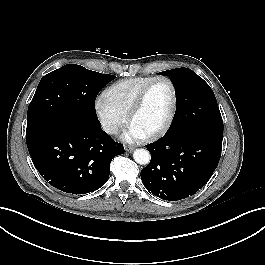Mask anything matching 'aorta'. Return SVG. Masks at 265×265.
Instances as JSON below:
<instances>
[{
    "instance_id": "1",
    "label": "aorta",
    "mask_w": 265,
    "mask_h": 265,
    "mask_svg": "<svg viewBox=\"0 0 265 265\" xmlns=\"http://www.w3.org/2000/svg\"><path fill=\"white\" fill-rule=\"evenodd\" d=\"M133 158L138 164L146 165L150 162V153L145 149H136Z\"/></svg>"
}]
</instances>
